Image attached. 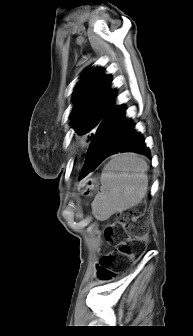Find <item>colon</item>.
I'll return each mask as SVG.
<instances>
[{"label": "colon", "mask_w": 193, "mask_h": 336, "mask_svg": "<svg viewBox=\"0 0 193 336\" xmlns=\"http://www.w3.org/2000/svg\"><path fill=\"white\" fill-rule=\"evenodd\" d=\"M148 236V227L136 210L118 213L116 220L104 230L107 242L115 244V250L103 254L98 263L103 278L113 275L116 257L133 258L139 255Z\"/></svg>", "instance_id": "obj_1"}]
</instances>
